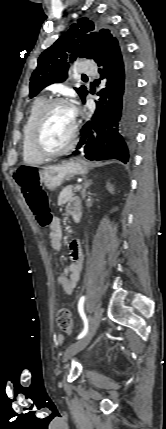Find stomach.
Listing matches in <instances>:
<instances>
[{
    "instance_id": "1",
    "label": "stomach",
    "mask_w": 166,
    "mask_h": 429,
    "mask_svg": "<svg viewBox=\"0 0 166 429\" xmlns=\"http://www.w3.org/2000/svg\"><path fill=\"white\" fill-rule=\"evenodd\" d=\"M89 171L88 164L83 160H71L62 164L47 166L38 172L40 182L48 190H55L65 180H69L75 175H85Z\"/></svg>"
}]
</instances>
